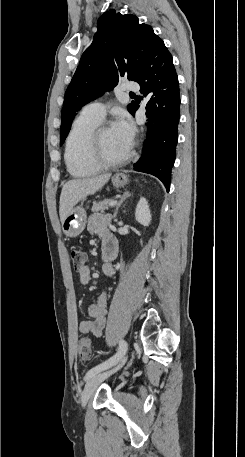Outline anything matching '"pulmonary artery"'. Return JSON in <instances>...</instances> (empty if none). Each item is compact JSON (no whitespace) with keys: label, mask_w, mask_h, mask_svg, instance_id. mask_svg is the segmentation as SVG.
<instances>
[{"label":"pulmonary artery","mask_w":245,"mask_h":457,"mask_svg":"<svg viewBox=\"0 0 245 457\" xmlns=\"http://www.w3.org/2000/svg\"><path fill=\"white\" fill-rule=\"evenodd\" d=\"M142 88V81L125 80L124 86H121L120 88V93L121 95H130L131 90H142ZM80 115H86L101 120L105 115V107L98 102L90 103L82 108Z\"/></svg>","instance_id":"e3ab8cb5"}]
</instances>
